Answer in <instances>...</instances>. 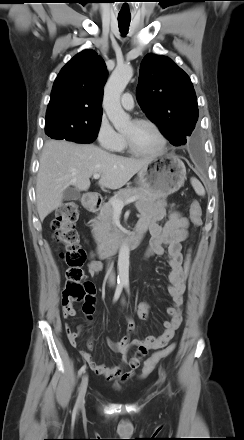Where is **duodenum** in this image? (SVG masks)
Wrapping results in <instances>:
<instances>
[{"mask_svg": "<svg viewBox=\"0 0 244 440\" xmlns=\"http://www.w3.org/2000/svg\"><path fill=\"white\" fill-rule=\"evenodd\" d=\"M84 205L89 211H96L101 206V200L98 196L88 194L84 199ZM146 230L142 227H136L135 232L128 237H112L103 240L97 247V254L100 259H107L116 254L122 247L135 248L138 247L144 237Z\"/></svg>", "mask_w": 244, "mask_h": 440, "instance_id": "1", "label": "duodenum"}]
</instances>
